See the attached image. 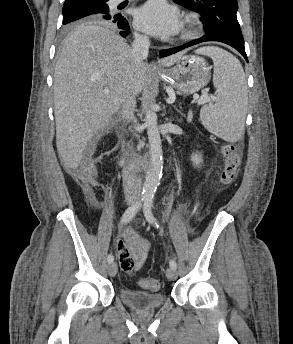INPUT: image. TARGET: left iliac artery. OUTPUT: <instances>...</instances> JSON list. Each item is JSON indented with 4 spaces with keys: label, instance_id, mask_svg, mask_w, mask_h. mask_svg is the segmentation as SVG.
<instances>
[{
    "label": "left iliac artery",
    "instance_id": "1",
    "mask_svg": "<svg viewBox=\"0 0 293 344\" xmlns=\"http://www.w3.org/2000/svg\"><path fill=\"white\" fill-rule=\"evenodd\" d=\"M152 206H153V196H147L145 198L144 207H143L145 217L149 223L155 225L158 228L159 225H158L157 220L155 219V217L152 213ZM169 265L171 268H174V269L177 268V263L174 259L170 260Z\"/></svg>",
    "mask_w": 293,
    "mask_h": 344
}]
</instances>
